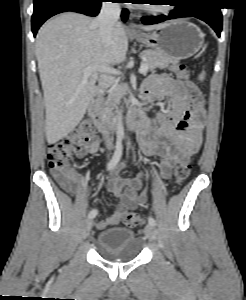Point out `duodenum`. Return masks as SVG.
Segmentation results:
<instances>
[{
  "mask_svg": "<svg viewBox=\"0 0 246 300\" xmlns=\"http://www.w3.org/2000/svg\"><path fill=\"white\" fill-rule=\"evenodd\" d=\"M87 112L90 119L100 132H107L109 130V122L102 104V90L97 89L93 94ZM145 110L141 105H134L124 118V125L127 129L137 130L146 120Z\"/></svg>",
  "mask_w": 246,
  "mask_h": 300,
  "instance_id": "duodenum-1",
  "label": "duodenum"
}]
</instances>
